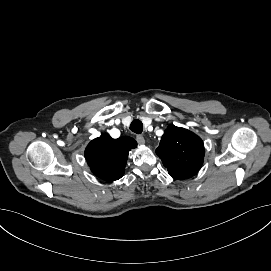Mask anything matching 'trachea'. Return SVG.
Segmentation results:
<instances>
[{"mask_svg": "<svg viewBox=\"0 0 271 271\" xmlns=\"http://www.w3.org/2000/svg\"><path fill=\"white\" fill-rule=\"evenodd\" d=\"M130 130L134 133L141 134L143 131V123L138 119H134L130 124Z\"/></svg>", "mask_w": 271, "mask_h": 271, "instance_id": "trachea-1", "label": "trachea"}]
</instances>
